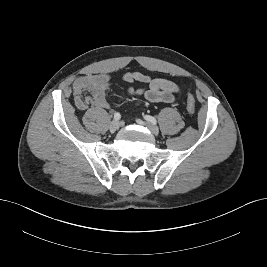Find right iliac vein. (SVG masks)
<instances>
[{
    "mask_svg": "<svg viewBox=\"0 0 267 267\" xmlns=\"http://www.w3.org/2000/svg\"><path fill=\"white\" fill-rule=\"evenodd\" d=\"M119 126H120L119 122L116 120H113L109 125V129L111 132H115L119 129Z\"/></svg>",
    "mask_w": 267,
    "mask_h": 267,
    "instance_id": "right-iliac-vein-1",
    "label": "right iliac vein"
}]
</instances>
